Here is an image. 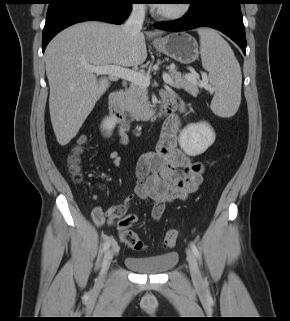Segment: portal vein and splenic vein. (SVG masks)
I'll return each mask as SVG.
<instances>
[{
    "label": "portal vein and splenic vein",
    "instance_id": "1",
    "mask_svg": "<svg viewBox=\"0 0 290 321\" xmlns=\"http://www.w3.org/2000/svg\"><path fill=\"white\" fill-rule=\"evenodd\" d=\"M89 71L94 72L97 75H109L112 77H118L125 80H128L132 83L141 85L143 87H147L150 85V77L148 75H145L144 73L137 72L134 70H130L127 68L120 67L118 65H106L101 67H88ZM163 80L167 84L172 83V78L170 75L166 72L162 75ZM197 75L189 74L187 75V78L189 80L196 81ZM201 87L207 86V77L203 76V81L199 84Z\"/></svg>",
    "mask_w": 290,
    "mask_h": 321
}]
</instances>
